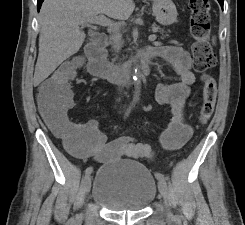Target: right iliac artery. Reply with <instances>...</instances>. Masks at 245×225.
Listing matches in <instances>:
<instances>
[{
	"instance_id": "82829eb1",
	"label": "right iliac artery",
	"mask_w": 245,
	"mask_h": 225,
	"mask_svg": "<svg viewBox=\"0 0 245 225\" xmlns=\"http://www.w3.org/2000/svg\"><path fill=\"white\" fill-rule=\"evenodd\" d=\"M131 108H132V105L129 107V109H127V111H126V113H125V115H124V118H126V117L129 116V113H130V111H131ZM92 171H93V168H92V167H88V168L85 170V174H86V175H89V174L92 173Z\"/></svg>"
}]
</instances>
